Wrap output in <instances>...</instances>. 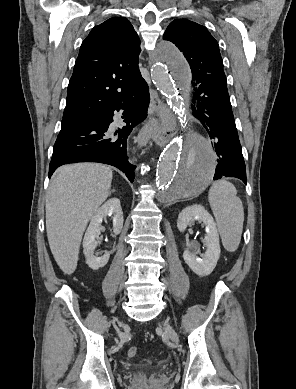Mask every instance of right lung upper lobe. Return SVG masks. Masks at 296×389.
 <instances>
[{
  "label": "right lung upper lobe",
  "instance_id": "cb5924a9",
  "mask_svg": "<svg viewBox=\"0 0 296 389\" xmlns=\"http://www.w3.org/2000/svg\"><path fill=\"white\" fill-rule=\"evenodd\" d=\"M140 39L127 18L113 17L83 41L69 81L63 119L88 118L121 103L141 75Z\"/></svg>",
  "mask_w": 296,
  "mask_h": 389
}]
</instances>
